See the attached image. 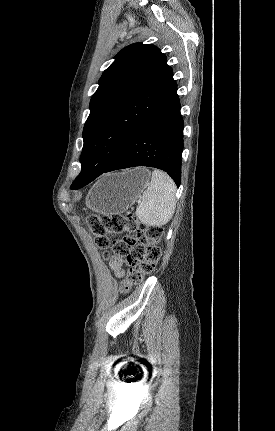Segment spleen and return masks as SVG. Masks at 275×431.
<instances>
[{"label": "spleen", "instance_id": "spleen-1", "mask_svg": "<svg viewBox=\"0 0 275 431\" xmlns=\"http://www.w3.org/2000/svg\"><path fill=\"white\" fill-rule=\"evenodd\" d=\"M176 185L171 177L163 171L154 170L148 188L136 208L138 219L149 226L167 224L175 212Z\"/></svg>", "mask_w": 275, "mask_h": 431}]
</instances>
